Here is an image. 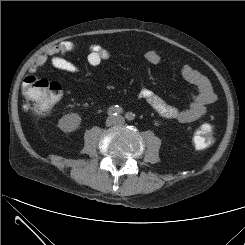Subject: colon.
<instances>
[{
  "instance_id": "5ec220e1",
  "label": "colon",
  "mask_w": 245,
  "mask_h": 245,
  "mask_svg": "<svg viewBox=\"0 0 245 245\" xmlns=\"http://www.w3.org/2000/svg\"><path fill=\"white\" fill-rule=\"evenodd\" d=\"M25 108L37 115L47 113L58 102L62 89L58 82L29 74L22 86ZM196 148L206 149L214 142V127L211 123L202 124L193 137Z\"/></svg>"
}]
</instances>
